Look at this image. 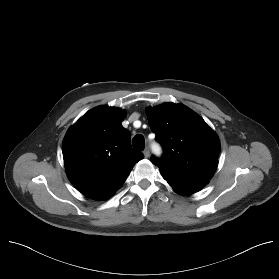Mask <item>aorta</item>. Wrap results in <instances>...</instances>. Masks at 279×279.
I'll use <instances>...</instances> for the list:
<instances>
[{
  "label": "aorta",
  "instance_id": "762f6f07",
  "mask_svg": "<svg viewBox=\"0 0 279 279\" xmlns=\"http://www.w3.org/2000/svg\"><path fill=\"white\" fill-rule=\"evenodd\" d=\"M152 151L154 152V154L156 155H160V147L158 145H152Z\"/></svg>",
  "mask_w": 279,
  "mask_h": 279
}]
</instances>
